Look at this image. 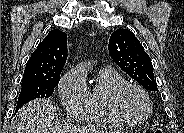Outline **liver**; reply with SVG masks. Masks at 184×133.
Listing matches in <instances>:
<instances>
[{
	"instance_id": "6515ba94",
	"label": "liver",
	"mask_w": 184,
	"mask_h": 133,
	"mask_svg": "<svg viewBox=\"0 0 184 133\" xmlns=\"http://www.w3.org/2000/svg\"><path fill=\"white\" fill-rule=\"evenodd\" d=\"M58 107L50 99H35L24 105L13 119L15 133H101L87 127H62Z\"/></svg>"
}]
</instances>
